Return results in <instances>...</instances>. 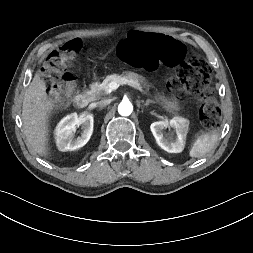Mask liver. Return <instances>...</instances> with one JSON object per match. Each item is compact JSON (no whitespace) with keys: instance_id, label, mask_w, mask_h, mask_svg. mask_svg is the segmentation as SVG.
<instances>
[{"instance_id":"6515ba94","label":"liver","mask_w":253,"mask_h":253,"mask_svg":"<svg viewBox=\"0 0 253 253\" xmlns=\"http://www.w3.org/2000/svg\"><path fill=\"white\" fill-rule=\"evenodd\" d=\"M52 109L45 82L35 74L23 99L22 120L28 143L42 157L48 154V117Z\"/></svg>"}]
</instances>
